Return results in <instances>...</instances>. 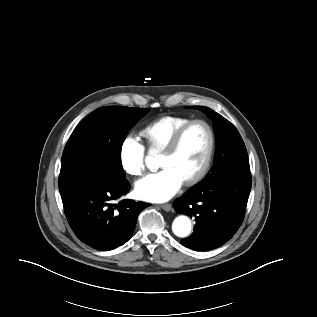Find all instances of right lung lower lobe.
Masks as SVG:
<instances>
[{
	"mask_svg": "<svg viewBox=\"0 0 317 317\" xmlns=\"http://www.w3.org/2000/svg\"><path fill=\"white\" fill-rule=\"evenodd\" d=\"M129 190L125 176L104 170L62 192L65 215L75 235L97 250H112L127 242L139 213L149 206L130 199L113 203Z\"/></svg>",
	"mask_w": 317,
	"mask_h": 317,
	"instance_id": "obj_1",
	"label": "right lung lower lobe"
}]
</instances>
